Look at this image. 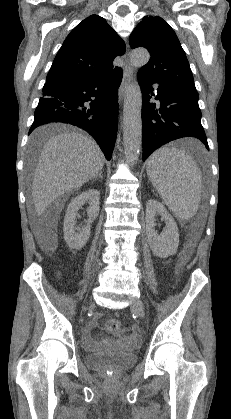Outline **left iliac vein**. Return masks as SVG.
Returning a JSON list of instances; mask_svg holds the SVG:
<instances>
[{
    "instance_id": "1",
    "label": "left iliac vein",
    "mask_w": 231,
    "mask_h": 419,
    "mask_svg": "<svg viewBox=\"0 0 231 419\" xmlns=\"http://www.w3.org/2000/svg\"><path fill=\"white\" fill-rule=\"evenodd\" d=\"M131 309L140 317H145V308L142 300H136L132 303Z\"/></svg>"
}]
</instances>
